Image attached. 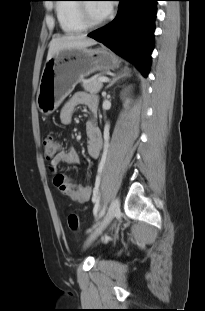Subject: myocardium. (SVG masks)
I'll use <instances>...</instances> for the list:
<instances>
[{
  "instance_id": "myocardium-1",
  "label": "myocardium",
  "mask_w": 205,
  "mask_h": 311,
  "mask_svg": "<svg viewBox=\"0 0 205 311\" xmlns=\"http://www.w3.org/2000/svg\"><path fill=\"white\" fill-rule=\"evenodd\" d=\"M78 15L82 25L85 29H97L104 25L107 21V17L105 16L100 21L94 22L90 19L89 12H88V4L82 2L78 4Z\"/></svg>"
}]
</instances>
